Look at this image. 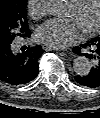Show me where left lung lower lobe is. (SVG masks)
Returning <instances> with one entry per match:
<instances>
[{
	"label": "left lung lower lobe",
	"mask_w": 100,
	"mask_h": 118,
	"mask_svg": "<svg viewBox=\"0 0 100 118\" xmlns=\"http://www.w3.org/2000/svg\"><path fill=\"white\" fill-rule=\"evenodd\" d=\"M73 52L84 55L92 62V68L88 75L75 76V81L83 86L96 88L100 86V37L93 38L80 47H74ZM85 52V53H83Z\"/></svg>",
	"instance_id": "left-lung-lower-lobe-1"
}]
</instances>
